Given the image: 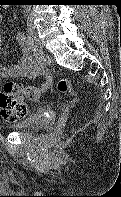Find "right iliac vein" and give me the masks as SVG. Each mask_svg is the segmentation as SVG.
Instances as JSON below:
<instances>
[{"mask_svg":"<svg viewBox=\"0 0 121 197\" xmlns=\"http://www.w3.org/2000/svg\"><path fill=\"white\" fill-rule=\"evenodd\" d=\"M30 35L34 39V41L38 44V46L42 49L41 42L38 39L37 32L34 28H30Z\"/></svg>","mask_w":121,"mask_h":197,"instance_id":"63e3f726","label":"right iliac vein"}]
</instances>
